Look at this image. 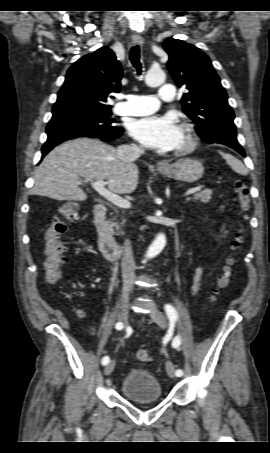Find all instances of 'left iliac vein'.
<instances>
[{"mask_svg": "<svg viewBox=\"0 0 270 453\" xmlns=\"http://www.w3.org/2000/svg\"><path fill=\"white\" fill-rule=\"evenodd\" d=\"M150 316L160 327L166 328L167 321H166V317L164 316V314L162 312H160L156 309H153V311L150 313ZM166 371L171 378H174L176 376L175 367L171 361H168L166 363Z\"/></svg>", "mask_w": 270, "mask_h": 453, "instance_id": "1", "label": "left iliac vein"}]
</instances>
